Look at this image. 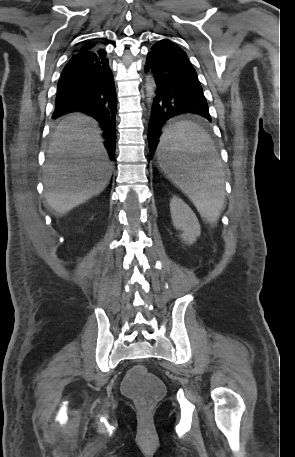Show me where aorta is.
Wrapping results in <instances>:
<instances>
[{"label": "aorta", "mask_w": 295, "mask_h": 457, "mask_svg": "<svg viewBox=\"0 0 295 457\" xmlns=\"http://www.w3.org/2000/svg\"><path fill=\"white\" fill-rule=\"evenodd\" d=\"M145 90H146V96L148 98L149 106H151V104L153 102V98L156 95L155 94L156 84H155V81H154V78H153L152 74H150V73H148L146 75Z\"/></svg>", "instance_id": "762f6f07"}]
</instances>
